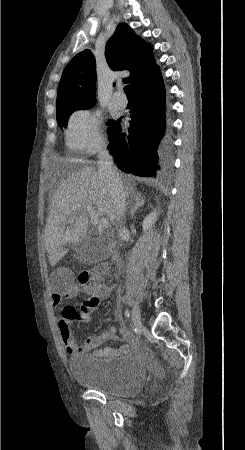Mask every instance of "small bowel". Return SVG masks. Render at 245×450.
<instances>
[{
	"mask_svg": "<svg viewBox=\"0 0 245 450\" xmlns=\"http://www.w3.org/2000/svg\"><path fill=\"white\" fill-rule=\"evenodd\" d=\"M111 290H112V287L105 284L102 281L100 275L98 273H96L94 275L93 295L91 298L96 302L98 300L106 299L109 296ZM76 292H77L76 287H71L64 296L61 294H52L51 298H50V304L52 306L56 307L61 303V301L64 297L71 298L76 294ZM78 312L80 314V321L86 322V323L92 322L91 310H85L80 306ZM117 316L120 318L121 314L117 313ZM59 330H60V336H61L62 342L64 343V346L66 348V351L68 354H70L72 356H76V355H79L82 353H87V352H94L97 355H99V354L120 355V354H123L124 352L128 351L131 347H133V348L136 347L138 344L136 338H134L131 335H126V339L128 342L127 345L117 347V348L107 347L105 349H98V346L102 342V338L100 336L91 335V336L87 337L83 342L76 343L72 337L69 322L61 321L59 323ZM112 331L114 332L115 330L112 329Z\"/></svg>",
	"mask_w": 245,
	"mask_h": 450,
	"instance_id": "1",
	"label": "small bowel"
}]
</instances>
